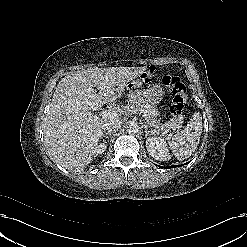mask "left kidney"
Here are the masks:
<instances>
[{"mask_svg": "<svg viewBox=\"0 0 247 247\" xmlns=\"http://www.w3.org/2000/svg\"><path fill=\"white\" fill-rule=\"evenodd\" d=\"M146 148L149 155L156 160L168 161L171 158L167 144L162 137L153 136L147 138Z\"/></svg>", "mask_w": 247, "mask_h": 247, "instance_id": "obj_1", "label": "left kidney"}]
</instances>
